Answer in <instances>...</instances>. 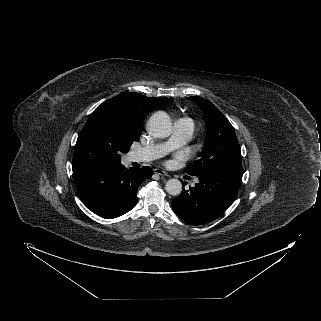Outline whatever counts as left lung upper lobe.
Listing matches in <instances>:
<instances>
[{
	"mask_svg": "<svg viewBox=\"0 0 321 321\" xmlns=\"http://www.w3.org/2000/svg\"><path fill=\"white\" fill-rule=\"evenodd\" d=\"M188 99L203 111L207 139L200 159L187 165V174L198 176L214 169L242 168L240 146L230 122L210 101L197 96Z\"/></svg>",
	"mask_w": 321,
	"mask_h": 321,
	"instance_id": "5c2ea615",
	"label": "left lung upper lobe"
}]
</instances>
